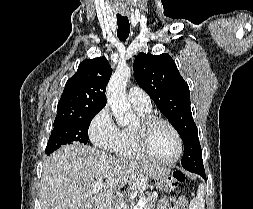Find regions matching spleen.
<instances>
[{"label": "spleen", "mask_w": 253, "mask_h": 209, "mask_svg": "<svg viewBox=\"0 0 253 209\" xmlns=\"http://www.w3.org/2000/svg\"><path fill=\"white\" fill-rule=\"evenodd\" d=\"M205 186L201 184L197 191V196L190 202L189 209H204L205 208Z\"/></svg>", "instance_id": "obj_1"}]
</instances>
